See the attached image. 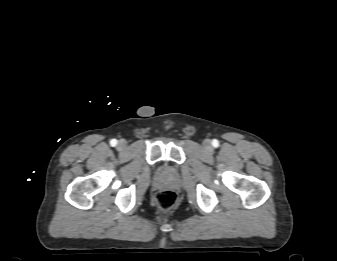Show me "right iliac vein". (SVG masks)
Returning a JSON list of instances; mask_svg holds the SVG:
<instances>
[{
	"instance_id": "1",
	"label": "right iliac vein",
	"mask_w": 337,
	"mask_h": 261,
	"mask_svg": "<svg viewBox=\"0 0 337 261\" xmlns=\"http://www.w3.org/2000/svg\"><path fill=\"white\" fill-rule=\"evenodd\" d=\"M126 146H127L126 140L121 139V140L118 142V148H119V149H124Z\"/></svg>"
}]
</instances>
